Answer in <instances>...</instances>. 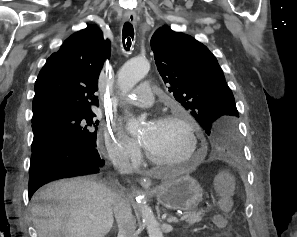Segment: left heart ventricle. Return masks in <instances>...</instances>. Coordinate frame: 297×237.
Here are the masks:
<instances>
[{
	"instance_id": "b2bd125f",
	"label": "left heart ventricle",
	"mask_w": 297,
	"mask_h": 237,
	"mask_svg": "<svg viewBox=\"0 0 297 237\" xmlns=\"http://www.w3.org/2000/svg\"><path fill=\"white\" fill-rule=\"evenodd\" d=\"M145 147L159 159L175 160L189 152L190 142L181 125L157 121Z\"/></svg>"
}]
</instances>
